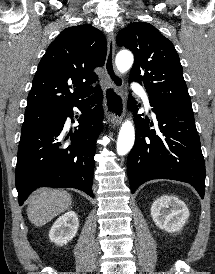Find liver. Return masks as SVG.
I'll return each mask as SVG.
<instances>
[{
  "label": "liver",
  "instance_id": "obj_1",
  "mask_svg": "<svg viewBox=\"0 0 215 274\" xmlns=\"http://www.w3.org/2000/svg\"><path fill=\"white\" fill-rule=\"evenodd\" d=\"M72 204L69 193L58 189H38L29 199L27 215L35 226H43Z\"/></svg>",
  "mask_w": 215,
  "mask_h": 274
}]
</instances>
